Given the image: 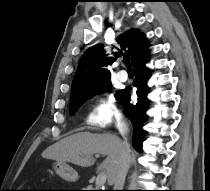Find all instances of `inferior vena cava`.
Instances as JSON below:
<instances>
[{
	"label": "inferior vena cava",
	"instance_id": "602c4592",
	"mask_svg": "<svg viewBox=\"0 0 210 191\" xmlns=\"http://www.w3.org/2000/svg\"><path fill=\"white\" fill-rule=\"evenodd\" d=\"M118 130L124 137L125 141L123 142V149L121 153V160L118 167V170L114 177V190H122L125 182V178L130 165V146L127 142L125 135L128 133V126L125 121H119L117 125Z\"/></svg>",
	"mask_w": 210,
	"mask_h": 191
}]
</instances>
